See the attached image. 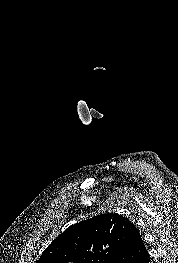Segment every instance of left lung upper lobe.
<instances>
[{"mask_svg": "<svg viewBox=\"0 0 178 263\" xmlns=\"http://www.w3.org/2000/svg\"><path fill=\"white\" fill-rule=\"evenodd\" d=\"M133 223L119 214H100L68 227L36 263H110Z\"/></svg>", "mask_w": 178, "mask_h": 263, "instance_id": "1", "label": "left lung upper lobe"}]
</instances>
